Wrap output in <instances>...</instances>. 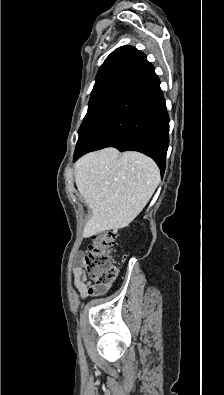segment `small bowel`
Segmentation results:
<instances>
[{
	"instance_id": "obj_1",
	"label": "small bowel",
	"mask_w": 224,
	"mask_h": 395,
	"mask_svg": "<svg viewBox=\"0 0 224 395\" xmlns=\"http://www.w3.org/2000/svg\"><path fill=\"white\" fill-rule=\"evenodd\" d=\"M79 257H82V253H80ZM73 282L75 288L80 293V297L83 299L89 296L102 294L113 286L112 283L97 284L92 282L89 280L86 272L80 264H76L73 268Z\"/></svg>"
}]
</instances>
